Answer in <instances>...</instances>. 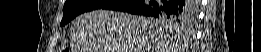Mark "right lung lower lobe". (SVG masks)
<instances>
[{"label": "right lung lower lobe", "mask_w": 261, "mask_h": 52, "mask_svg": "<svg viewBox=\"0 0 261 52\" xmlns=\"http://www.w3.org/2000/svg\"><path fill=\"white\" fill-rule=\"evenodd\" d=\"M103 9L160 17L179 16L191 9L184 0H115Z\"/></svg>", "instance_id": "obj_1"}]
</instances>
